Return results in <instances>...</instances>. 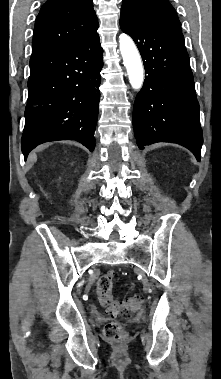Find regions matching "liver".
<instances>
[{
  "mask_svg": "<svg viewBox=\"0 0 221 379\" xmlns=\"http://www.w3.org/2000/svg\"><path fill=\"white\" fill-rule=\"evenodd\" d=\"M48 146V144H43L41 146H39V148L37 150H43L44 148H46Z\"/></svg>",
  "mask_w": 221,
  "mask_h": 379,
  "instance_id": "obj_1",
  "label": "liver"
}]
</instances>
